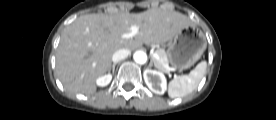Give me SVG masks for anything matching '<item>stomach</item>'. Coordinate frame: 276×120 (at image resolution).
Returning a JSON list of instances; mask_svg holds the SVG:
<instances>
[{
	"label": "stomach",
	"instance_id": "obj_1",
	"mask_svg": "<svg viewBox=\"0 0 276 120\" xmlns=\"http://www.w3.org/2000/svg\"><path fill=\"white\" fill-rule=\"evenodd\" d=\"M206 47L205 34L194 25L187 26L168 45L169 63L177 70H186L200 59Z\"/></svg>",
	"mask_w": 276,
	"mask_h": 120
}]
</instances>
